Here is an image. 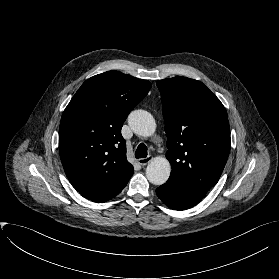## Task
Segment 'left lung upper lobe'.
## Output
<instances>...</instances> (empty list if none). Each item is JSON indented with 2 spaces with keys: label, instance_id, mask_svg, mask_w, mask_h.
Returning <instances> with one entry per match:
<instances>
[{
  "label": "left lung upper lobe",
  "instance_id": "1",
  "mask_svg": "<svg viewBox=\"0 0 279 279\" xmlns=\"http://www.w3.org/2000/svg\"><path fill=\"white\" fill-rule=\"evenodd\" d=\"M167 136L170 179L208 192L218 182L230 152L223 104L202 82L178 76L157 82Z\"/></svg>",
  "mask_w": 279,
  "mask_h": 279
}]
</instances>
